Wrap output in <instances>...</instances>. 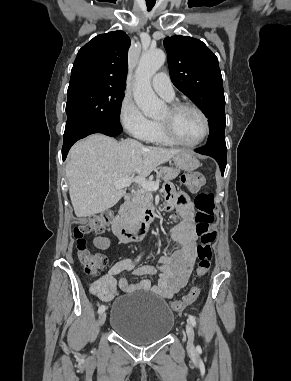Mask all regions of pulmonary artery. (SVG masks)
<instances>
[{
  "label": "pulmonary artery",
  "instance_id": "obj_1",
  "mask_svg": "<svg viewBox=\"0 0 291 381\" xmlns=\"http://www.w3.org/2000/svg\"><path fill=\"white\" fill-rule=\"evenodd\" d=\"M155 91L168 101L174 99V88L167 73L159 72L152 79Z\"/></svg>",
  "mask_w": 291,
  "mask_h": 381
}]
</instances>
